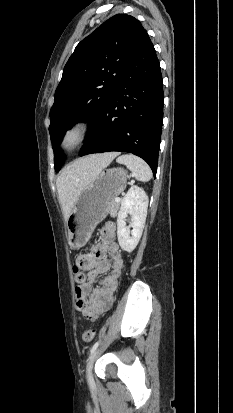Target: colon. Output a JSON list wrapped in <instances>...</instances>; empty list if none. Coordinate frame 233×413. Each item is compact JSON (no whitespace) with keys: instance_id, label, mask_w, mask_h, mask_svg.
<instances>
[{"instance_id":"1","label":"colon","mask_w":233,"mask_h":413,"mask_svg":"<svg viewBox=\"0 0 233 413\" xmlns=\"http://www.w3.org/2000/svg\"><path fill=\"white\" fill-rule=\"evenodd\" d=\"M74 277L75 281L78 285H82L88 279V274L83 269L80 262H76L74 265ZM96 334V330L94 328H89L83 332L82 339L84 342L89 343L91 342Z\"/></svg>"}]
</instances>
